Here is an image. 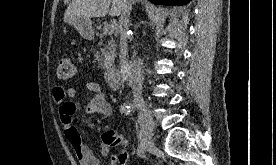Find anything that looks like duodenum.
I'll return each instance as SVG.
<instances>
[{
  "mask_svg": "<svg viewBox=\"0 0 276 165\" xmlns=\"http://www.w3.org/2000/svg\"><path fill=\"white\" fill-rule=\"evenodd\" d=\"M105 78L108 86L111 89H118L121 85L122 80V74L119 67L115 64L108 67L105 72Z\"/></svg>",
  "mask_w": 276,
  "mask_h": 165,
  "instance_id": "duodenum-1",
  "label": "duodenum"
}]
</instances>
